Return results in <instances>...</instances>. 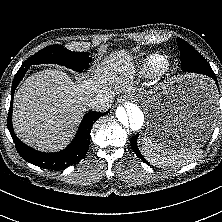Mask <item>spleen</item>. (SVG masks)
Segmentation results:
<instances>
[{"instance_id":"3e777b00","label":"spleen","mask_w":222,"mask_h":222,"mask_svg":"<svg viewBox=\"0 0 222 222\" xmlns=\"http://www.w3.org/2000/svg\"><path fill=\"white\" fill-rule=\"evenodd\" d=\"M141 149L146 160L160 168L180 167L192 162L201 153L200 148L175 149L143 138Z\"/></svg>"}]
</instances>
